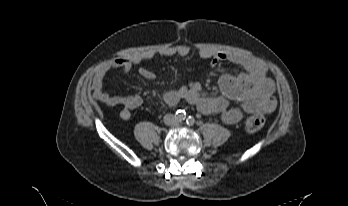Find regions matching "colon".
<instances>
[{
  "label": "colon",
  "instance_id": "obj_1",
  "mask_svg": "<svg viewBox=\"0 0 348 206\" xmlns=\"http://www.w3.org/2000/svg\"><path fill=\"white\" fill-rule=\"evenodd\" d=\"M265 117L262 114H253L246 119V129L250 132L260 130L265 124Z\"/></svg>",
  "mask_w": 348,
  "mask_h": 206
}]
</instances>
